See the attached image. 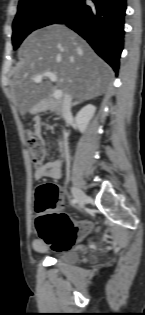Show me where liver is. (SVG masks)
I'll use <instances>...</instances> for the list:
<instances>
[{"instance_id":"1","label":"liver","mask_w":145,"mask_h":315,"mask_svg":"<svg viewBox=\"0 0 145 315\" xmlns=\"http://www.w3.org/2000/svg\"><path fill=\"white\" fill-rule=\"evenodd\" d=\"M18 57L11 94L21 115L33 112L34 107L49 100L57 88L82 101L98 97L105 93L113 75L112 69L84 39L61 25L31 33L22 43ZM44 72L56 75V87L48 77L34 82L33 78Z\"/></svg>"}]
</instances>
